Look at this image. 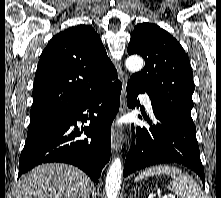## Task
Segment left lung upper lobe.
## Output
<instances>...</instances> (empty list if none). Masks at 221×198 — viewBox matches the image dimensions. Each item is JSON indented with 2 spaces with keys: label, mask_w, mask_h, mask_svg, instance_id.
Masks as SVG:
<instances>
[{
  "label": "left lung upper lobe",
  "mask_w": 221,
  "mask_h": 198,
  "mask_svg": "<svg viewBox=\"0 0 221 198\" xmlns=\"http://www.w3.org/2000/svg\"><path fill=\"white\" fill-rule=\"evenodd\" d=\"M145 59V68L128 83L147 93L156 107L195 126L191 118L195 86L189 58L179 42L152 23L137 24L127 49Z\"/></svg>",
  "instance_id": "5c2ea615"
}]
</instances>
